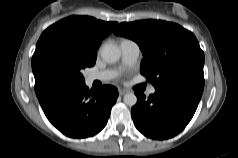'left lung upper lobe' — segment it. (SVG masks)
<instances>
[{
    "instance_id": "5c2ea615",
    "label": "left lung upper lobe",
    "mask_w": 238,
    "mask_h": 158,
    "mask_svg": "<svg viewBox=\"0 0 238 158\" xmlns=\"http://www.w3.org/2000/svg\"><path fill=\"white\" fill-rule=\"evenodd\" d=\"M114 33L139 45L144 56L140 72L155 88L187 78H204V53L193 33L181 26L143 20L121 23Z\"/></svg>"
}]
</instances>
